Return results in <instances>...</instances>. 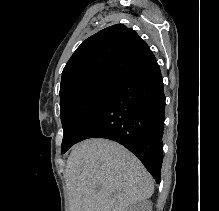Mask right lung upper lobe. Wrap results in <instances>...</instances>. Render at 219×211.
Wrapping results in <instances>:
<instances>
[{
    "label": "right lung upper lobe",
    "mask_w": 219,
    "mask_h": 211,
    "mask_svg": "<svg viewBox=\"0 0 219 211\" xmlns=\"http://www.w3.org/2000/svg\"><path fill=\"white\" fill-rule=\"evenodd\" d=\"M156 60L131 28L116 24L87 38L62 73L60 101L97 84L117 85Z\"/></svg>",
    "instance_id": "1"
}]
</instances>
